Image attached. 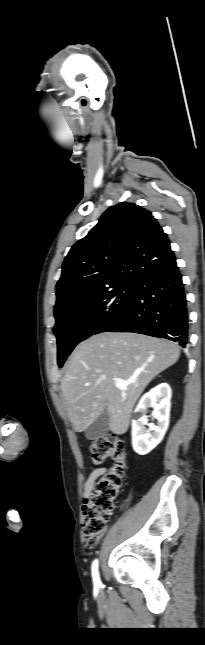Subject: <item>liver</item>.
<instances>
[{
    "mask_svg": "<svg viewBox=\"0 0 205 645\" xmlns=\"http://www.w3.org/2000/svg\"><path fill=\"white\" fill-rule=\"evenodd\" d=\"M179 356L174 342L137 333L104 332L79 343L61 381L73 429L85 431L106 411L111 432L126 433L133 407L146 386ZM117 378L135 382L119 389Z\"/></svg>",
    "mask_w": 205,
    "mask_h": 645,
    "instance_id": "liver-1",
    "label": "liver"
}]
</instances>
